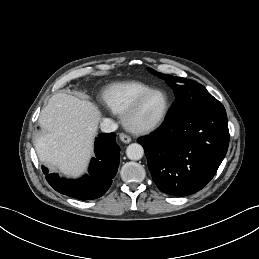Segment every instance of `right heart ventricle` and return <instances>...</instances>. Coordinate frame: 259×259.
Masks as SVG:
<instances>
[{
	"label": "right heart ventricle",
	"mask_w": 259,
	"mask_h": 259,
	"mask_svg": "<svg viewBox=\"0 0 259 259\" xmlns=\"http://www.w3.org/2000/svg\"><path fill=\"white\" fill-rule=\"evenodd\" d=\"M151 89V86L137 81L114 83L103 91L101 100L112 113L123 115L140 96Z\"/></svg>",
	"instance_id": "right-heart-ventricle-1"
}]
</instances>
